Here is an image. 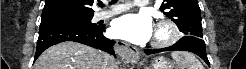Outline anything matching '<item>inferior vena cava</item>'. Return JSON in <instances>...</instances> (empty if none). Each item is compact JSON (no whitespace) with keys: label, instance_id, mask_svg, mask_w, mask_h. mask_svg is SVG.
<instances>
[{"label":"inferior vena cava","instance_id":"inferior-vena-cava-1","mask_svg":"<svg viewBox=\"0 0 246 69\" xmlns=\"http://www.w3.org/2000/svg\"><path fill=\"white\" fill-rule=\"evenodd\" d=\"M109 58H111L112 59V62H113V64H115V59L112 57V56H110L109 55ZM113 67H106V69H112Z\"/></svg>","mask_w":246,"mask_h":69}]
</instances>
